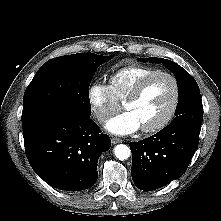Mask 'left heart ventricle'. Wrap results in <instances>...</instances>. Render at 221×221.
<instances>
[{
    "instance_id": "obj_1",
    "label": "left heart ventricle",
    "mask_w": 221,
    "mask_h": 221,
    "mask_svg": "<svg viewBox=\"0 0 221 221\" xmlns=\"http://www.w3.org/2000/svg\"><path fill=\"white\" fill-rule=\"evenodd\" d=\"M173 99V84L165 76L153 78L141 96L125 105L132 112L141 127L151 126L160 121L169 110Z\"/></svg>"
}]
</instances>
